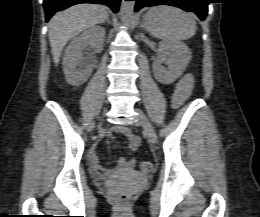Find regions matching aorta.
Instances as JSON below:
<instances>
[{"label": "aorta", "mask_w": 260, "mask_h": 217, "mask_svg": "<svg viewBox=\"0 0 260 217\" xmlns=\"http://www.w3.org/2000/svg\"><path fill=\"white\" fill-rule=\"evenodd\" d=\"M135 2L122 0L120 16L125 24H129L133 19Z\"/></svg>", "instance_id": "obj_1"}]
</instances>
